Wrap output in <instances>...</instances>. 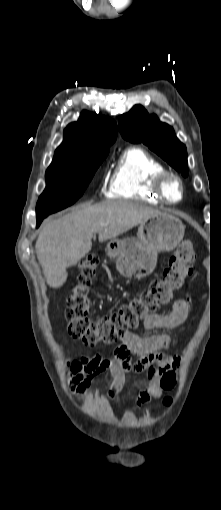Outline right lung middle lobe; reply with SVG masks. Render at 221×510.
Listing matches in <instances>:
<instances>
[{"mask_svg": "<svg viewBox=\"0 0 221 510\" xmlns=\"http://www.w3.org/2000/svg\"><path fill=\"white\" fill-rule=\"evenodd\" d=\"M109 151L55 161L46 171V189L36 205V217L48 216L76 202Z\"/></svg>", "mask_w": 221, "mask_h": 510, "instance_id": "obj_1", "label": "right lung middle lobe"}]
</instances>
